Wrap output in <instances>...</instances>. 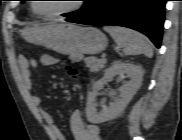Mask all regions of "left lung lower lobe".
Instances as JSON below:
<instances>
[{
    "label": "left lung lower lobe",
    "instance_id": "left-lung-lower-lobe-1",
    "mask_svg": "<svg viewBox=\"0 0 182 140\" xmlns=\"http://www.w3.org/2000/svg\"><path fill=\"white\" fill-rule=\"evenodd\" d=\"M166 0H100L87 15L67 21L88 25H115L137 30L161 46Z\"/></svg>",
    "mask_w": 182,
    "mask_h": 140
}]
</instances>
